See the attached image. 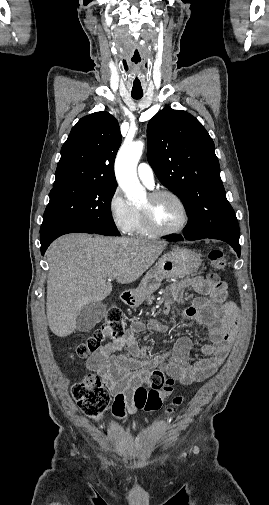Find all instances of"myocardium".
Listing matches in <instances>:
<instances>
[{
	"mask_svg": "<svg viewBox=\"0 0 269 505\" xmlns=\"http://www.w3.org/2000/svg\"><path fill=\"white\" fill-rule=\"evenodd\" d=\"M162 196H169V197L173 198L181 206V208L183 210V214H184L182 223L179 226L172 228V229L159 228L154 223V221L152 219L150 209L148 207H139L143 225L146 228V230L150 234H153V235L169 236V235L179 234L186 229V227L188 226V224L190 222V210H189L186 202L183 200V198L172 190L157 189V190L151 191L148 194V197L151 201L156 200Z\"/></svg>",
	"mask_w": 269,
	"mask_h": 505,
	"instance_id": "f54148a6",
	"label": "myocardium"
}]
</instances>
